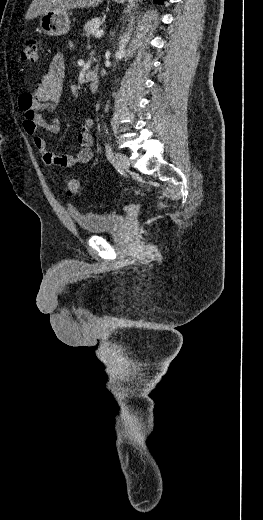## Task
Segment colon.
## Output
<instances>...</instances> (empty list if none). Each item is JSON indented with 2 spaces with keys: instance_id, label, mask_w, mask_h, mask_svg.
I'll return each mask as SVG.
<instances>
[{
  "instance_id": "colon-1",
  "label": "colon",
  "mask_w": 263,
  "mask_h": 520,
  "mask_svg": "<svg viewBox=\"0 0 263 520\" xmlns=\"http://www.w3.org/2000/svg\"><path fill=\"white\" fill-rule=\"evenodd\" d=\"M22 58L26 61L36 62L38 60V41L36 39H28L22 51ZM64 187L67 195L76 196L80 192V183L77 178L69 176L64 181ZM137 191V189H135Z\"/></svg>"
}]
</instances>
